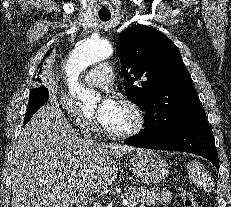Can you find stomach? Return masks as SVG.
<instances>
[{"label": "stomach", "instance_id": "0dacf381", "mask_svg": "<svg viewBox=\"0 0 231 207\" xmlns=\"http://www.w3.org/2000/svg\"><path fill=\"white\" fill-rule=\"evenodd\" d=\"M130 170L143 184H158L169 173L167 162L156 152L139 149L130 159Z\"/></svg>", "mask_w": 231, "mask_h": 207}]
</instances>
